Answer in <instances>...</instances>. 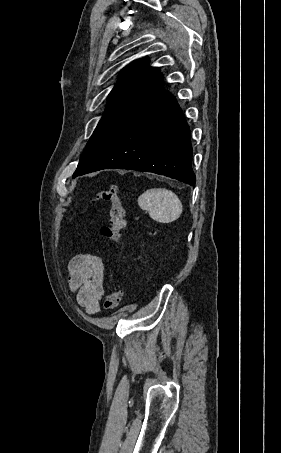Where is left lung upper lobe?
I'll return each instance as SVG.
<instances>
[{
	"label": "left lung upper lobe",
	"instance_id": "5c2ea615",
	"mask_svg": "<svg viewBox=\"0 0 281 453\" xmlns=\"http://www.w3.org/2000/svg\"><path fill=\"white\" fill-rule=\"evenodd\" d=\"M159 75L157 68L148 66L147 59L134 61L121 71L120 81L108 96L106 111L83 151L77 170L84 168L98 154Z\"/></svg>",
	"mask_w": 281,
	"mask_h": 453
}]
</instances>
